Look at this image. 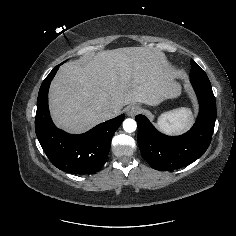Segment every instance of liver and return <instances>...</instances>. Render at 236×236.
<instances>
[{"label":"liver","mask_w":236,"mask_h":236,"mask_svg":"<svg viewBox=\"0 0 236 236\" xmlns=\"http://www.w3.org/2000/svg\"><path fill=\"white\" fill-rule=\"evenodd\" d=\"M180 87L165 56L145 47H125L85 55L61 66L51 83L54 123L82 133L106 120L105 113L126 105L156 106L178 96Z\"/></svg>","instance_id":"6515ba94"}]
</instances>
